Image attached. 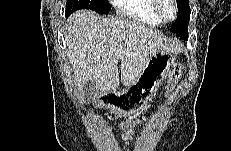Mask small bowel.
<instances>
[{
    "mask_svg": "<svg viewBox=\"0 0 231 151\" xmlns=\"http://www.w3.org/2000/svg\"><path fill=\"white\" fill-rule=\"evenodd\" d=\"M134 126H135V122H130V121L122 122L118 125L120 131L123 132L122 140L126 146L129 145Z\"/></svg>",
    "mask_w": 231,
    "mask_h": 151,
    "instance_id": "1",
    "label": "small bowel"
}]
</instances>
